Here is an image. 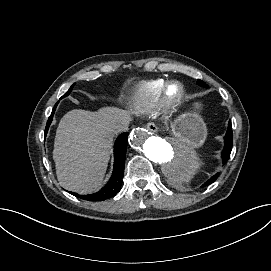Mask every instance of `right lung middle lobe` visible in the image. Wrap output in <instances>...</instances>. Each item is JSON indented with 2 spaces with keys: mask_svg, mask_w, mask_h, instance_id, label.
Returning a JSON list of instances; mask_svg holds the SVG:
<instances>
[{
  "mask_svg": "<svg viewBox=\"0 0 271 271\" xmlns=\"http://www.w3.org/2000/svg\"><path fill=\"white\" fill-rule=\"evenodd\" d=\"M73 86H74V84L70 87V89L60 99L68 96L70 94V92L72 91Z\"/></svg>",
  "mask_w": 271,
  "mask_h": 271,
  "instance_id": "1",
  "label": "right lung middle lobe"
}]
</instances>
